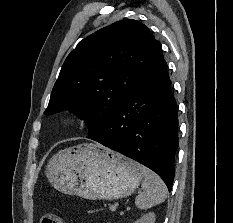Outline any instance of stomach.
<instances>
[{
  "label": "stomach",
  "mask_w": 233,
  "mask_h": 223,
  "mask_svg": "<svg viewBox=\"0 0 233 223\" xmlns=\"http://www.w3.org/2000/svg\"><path fill=\"white\" fill-rule=\"evenodd\" d=\"M46 175L63 193L85 199H120L139 187L143 167L98 143H81L51 157Z\"/></svg>",
  "instance_id": "stomach-1"
}]
</instances>
